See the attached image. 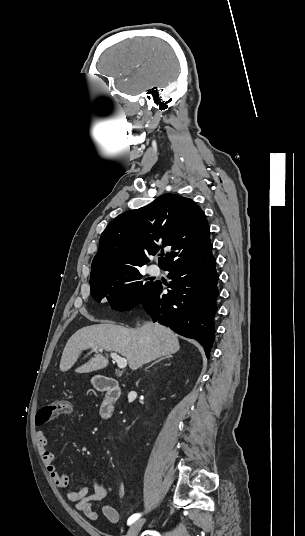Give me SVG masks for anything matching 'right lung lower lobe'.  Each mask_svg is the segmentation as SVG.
I'll return each mask as SVG.
<instances>
[{
  "instance_id": "98d812e1",
  "label": "right lung lower lobe",
  "mask_w": 305,
  "mask_h": 536,
  "mask_svg": "<svg viewBox=\"0 0 305 536\" xmlns=\"http://www.w3.org/2000/svg\"><path fill=\"white\" fill-rule=\"evenodd\" d=\"M216 260L212 244L204 250L177 260L163 270L172 279L168 294H162V285L154 283L139 304L154 321L169 326L175 332L197 340L209 357L215 338L214 316L219 295Z\"/></svg>"
}]
</instances>
